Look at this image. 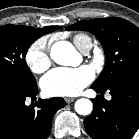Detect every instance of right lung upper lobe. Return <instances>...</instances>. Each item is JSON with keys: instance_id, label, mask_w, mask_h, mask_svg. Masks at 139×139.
Instances as JSON below:
<instances>
[{"instance_id": "cb5924a9", "label": "right lung upper lobe", "mask_w": 139, "mask_h": 139, "mask_svg": "<svg viewBox=\"0 0 139 139\" xmlns=\"http://www.w3.org/2000/svg\"><path fill=\"white\" fill-rule=\"evenodd\" d=\"M30 28H32V27H30ZM60 28H61L60 26H47L42 29H36V28H32V29L34 31H36L37 33H39L40 35H43V34H47V33L53 32L55 30H58Z\"/></svg>"}]
</instances>
